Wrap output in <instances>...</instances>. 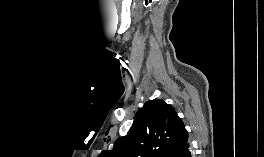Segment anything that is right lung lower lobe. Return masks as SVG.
Segmentation results:
<instances>
[{"label": "right lung lower lobe", "instance_id": "1", "mask_svg": "<svg viewBox=\"0 0 264 157\" xmlns=\"http://www.w3.org/2000/svg\"><path fill=\"white\" fill-rule=\"evenodd\" d=\"M170 157H193L191 148L188 142H186L181 148L174 152Z\"/></svg>", "mask_w": 264, "mask_h": 157}]
</instances>
